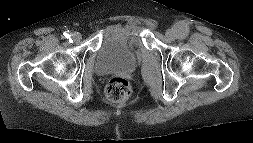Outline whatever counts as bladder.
Wrapping results in <instances>:
<instances>
[{
    "mask_svg": "<svg viewBox=\"0 0 253 143\" xmlns=\"http://www.w3.org/2000/svg\"><path fill=\"white\" fill-rule=\"evenodd\" d=\"M133 36L122 28L109 31L98 52L95 70L99 74L131 72L139 64V47L132 43Z\"/></svg>",
    "mask_w": 253,
    "mask_h": 143,
    "instance_id": "31cf9c89",
    "label": "bladder"
}]
</instances>
